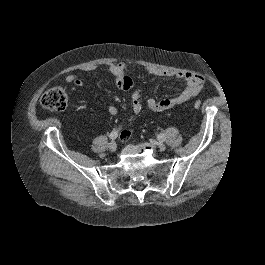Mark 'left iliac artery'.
<instances>
[{
    "mask_svg": "<svg viewBox=\"0 0 265 265\" xmlns=\"http://www.w3.org/2000/svg\"><path fill=\"white\" fill-rule=\"evenodd\" d=\"M157 139L159 141H164V134L163 133H160L158 136H157Z\"/></svg>",
    "mask_w": 265,
    "mask_h": 265,
    "instance_id": "1",
    "label": "left iliac artery"
}]
</instances>
